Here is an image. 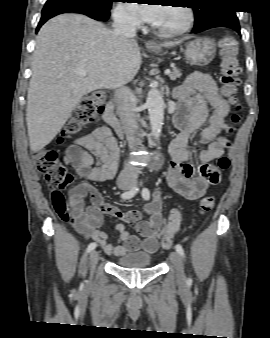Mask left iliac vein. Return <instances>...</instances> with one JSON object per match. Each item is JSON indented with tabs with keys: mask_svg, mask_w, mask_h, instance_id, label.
Returning a JSON list of instances; mask_svg holds the SVG:
<instances>
[{
	"mask_svg": "<svg viewBox=\"0 0 270 338\" xmlns=\"http://www.w3.org/2000/svg\"><path fill=\"white\" fill-rule=\"evenodd\" d=\"M172 264L175 267L177 278L180 282L185 280V273L182 259L177 251H172L169 255Z\"/></svg>",
	"mask_w": 270,
	"mask_h": 338,
	"instance_id": "obj_1",
	"label": "left iliac vein"
}]
</instances>
